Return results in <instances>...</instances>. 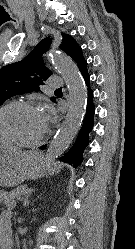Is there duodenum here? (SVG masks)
Returning a JSON list of instances; mask_svg holds the SVG:
<instances>
[{"instance_id":"obj_1","label":"duodenum","mask_w":135,"mask_h":249,"mask_svg":"<svg viewBox=\"0 0 135 249\" xmlns=\"http://www.w3.org/2000/svg\"><path fill=\"white\" fill-rule=\"evenodd\" d=\"M12 241H13V237L9 234L4 240V243L1 245L2 246L1 249H10Z\"/></svg>"}]
</instances>
